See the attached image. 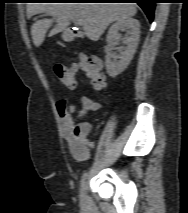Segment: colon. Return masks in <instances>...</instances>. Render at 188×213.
<instances>
[{
  "label": "colon",
  "mask_w": 188,
  "mask_h": 213,
  "mask_svg": "<svg viewBox=\"0 0 188 213\" xmlns=\"http://www.w3.org/2000/svg\"><path fill=\"white\" fill-rule=\"evenodd\" d=\"M78 70L82 71L90 79L91 85L95 90L100 91L105 88V75L100 72V64L92 58L81 56L79 61L71 67L62 63L54 65L56 76L70 89L75 88L77 85L75 73Z\"/></svg>",
  "instance_id": "1"
}]
</instances>
